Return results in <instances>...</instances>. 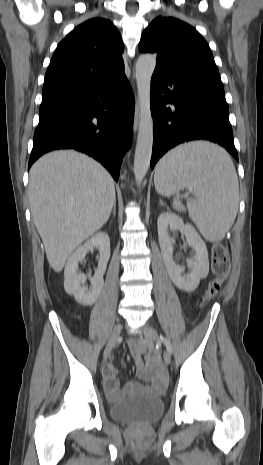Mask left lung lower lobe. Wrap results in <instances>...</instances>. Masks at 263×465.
I'll return each mask as SVG.
<instances>
[{
    "instance_id": "0a47b994",
    "label": "left lung lower lobe",
    "mask_w": 263,
    "mask_h": 465,
    "mask_svg": "<svg viewBox=\"0 0 263 465\" xmlns=\"http://www.w3.org/2000/svg\"><path fill=\"white\" fill-rule=\"evenodd\" d=\"M174 104L175 109L167 108ZM154 141L151 168L178 144L209 140L238 161L224 88L205 78L155 69L151 80Z\"/></svg>"
}]
</instances>
